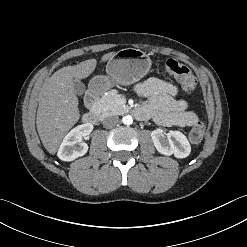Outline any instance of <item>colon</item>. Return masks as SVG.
Masks as SVG:
<instances>
[{"instance_id": "obj_1", "label": "colon", "mask_w": 247, "mask_h": 247, "mask_svg": "<svg viewBox=\"0 0 247 247\" xmlns=\"http://www.w3.org/2000/svg\"><path fill=\"white\" fill-rule=\"evenodd\" d=\"M165 69L181 83L183 89L192 94L196 88V79L191 70L184 64L175 59H168L165 63ZM205 133V125L197 122L191 129L189 139L192 143L198 144L202 141Z\"/></svg>"}]
</instances>
